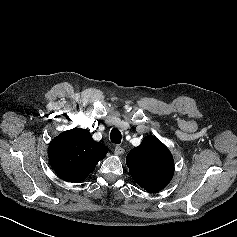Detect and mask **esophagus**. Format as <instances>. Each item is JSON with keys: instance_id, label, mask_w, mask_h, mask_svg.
<instances>
[{"instance_id": "obj_1", "label": "esophagus", "mask_w": 237, "mask_h": 237, "mask_svg": "<svg viewBox=\"0 0 237 237\" xmlns=\"http://www.w3.org/2000/svg\"><path fill=\"white\" fill-rule=\"evenodd\" d=\"M124 152H125V150L121 146H116L114 149L115 155H118V156L124 154Z\"/></svg>"}]
</instances>
